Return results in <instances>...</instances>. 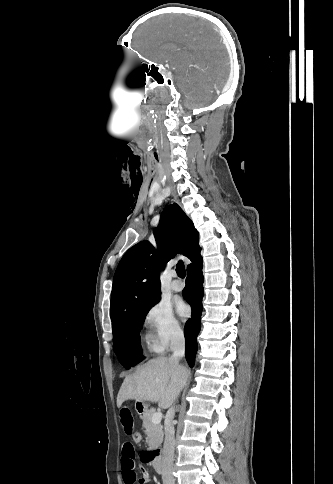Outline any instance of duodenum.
Returning <instances> with one entry per match:
<instances>
[{
  "instance_id": "obj_1",
  "label": "duodenum",
  "mask_w": 333,
  "mask_h": 484,
  "mask_svg": "<svg viewBox=\"0 0 333 484\" xmlns=\"http://www.w3.org/2000/svg\"><path fill=\"white\" fill-rule=\"evenodd\" d=\"M152 464H153L154 470L157 473L161 474L163 471V467H162V461H161V452L158 449L152 452Z\"/></svg>"
}]
</instances>
